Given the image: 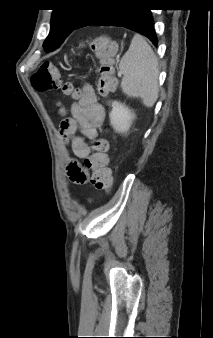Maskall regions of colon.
Listing matches in <instances>:
<instances>
[{
  "label": "colon",
  "instance_id": "obj_1",
  "mask_svg": "<svg viewBox=\"0 0 213 338\" xmlns=\"http://www.w3.org/2000/svg\"><path fill=\"white\" fill-rule=\"evenodd\" d=\"M87 44L95 52L98 60L97 88L100 94L112 92L116 87L114 62L118 58V44L104 36L92 38ZM31 84L38 92H51L59 89L66 95L73 94V87L69 83H63L58 67L51 62H44L39 70L31 77ZM61 126L74 130L76 124L72 119L63 120ZM108 141L104 138H96L91 143L92 153L84 159L82 165L70 164L68 175L74 179L77 173L83 170L92 172V184L97 190H110L114 178L108 167Z\"/></svg>",
  "mask_w": 213,
  "mask_h": 338
}]
</instances>
